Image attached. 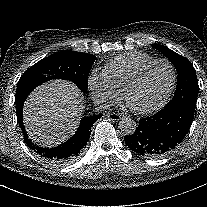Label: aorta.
Instances as JSON below:
<instances>
[{
  "label": "aorta",
  "instance_id": "obj_1",
  "mask_svg": "<svg viewBox=\"0 0 207 207\" xmlns=\"http://www.w3.org/2000/svg\"><path fill=\"white\" fill-rule=\"evenodd\" d=\"M118 128L124 135H131L136 131V122L130 117H124L120 120Z\"/></svg>",
  "mask_w": 207,
  "mask_h": 207
}]
</instances>
